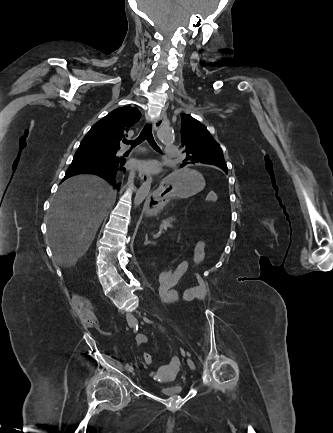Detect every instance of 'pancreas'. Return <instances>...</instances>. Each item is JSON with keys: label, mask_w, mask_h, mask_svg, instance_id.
<instances>
[{"label": "pancreas", "mask_w": 333, "mask_h": 433, "mask_svg": "<svg viewBox=\"0 0 333 433\" xmlns=\"http://www.w3.org/2000/svg\"><path fill=\"white\" fill-rule=\"evenodd\" d=\"M176 219H175V217H169V218H167V219H163L162 221H161V225L160 226H166V227H169V228H172V223L175 221Z\"/></svg>", "instance_id": "cf45deb5"}]
</instances>
